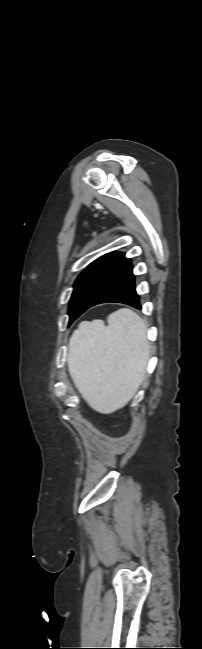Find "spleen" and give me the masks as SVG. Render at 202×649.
<instances>
[{
    "mask_svg": "<svg viewBox=\"0 0 202 649\" xmlns=\"http://www.w3.org/2000/svg\"><path fill=\"white\" fill-rule=\"evenodd\" d=\"M103 322H82L69 341L68 370L96 411L111 413L131 400L146 372V325L134 311L119 309Z\"/></svg>",
    "mask_w": 202,
    "mask_h": 649,
    "instance_id": "3e777b00",
    "label": "spleen"
}]
</instances>
